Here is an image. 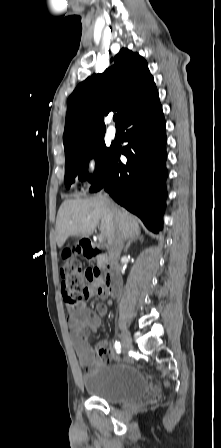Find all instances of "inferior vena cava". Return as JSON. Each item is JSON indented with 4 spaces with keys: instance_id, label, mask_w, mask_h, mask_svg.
<instances>
[{
    "instance_id": "inferior-vena-cava-1",
    "label": "inferior vena cava",
    "mask_w": 221,
    "mask_h": 448,
    "mask_svg": "<svg viewBox=\"0 0 221 448\" xmlns=\"http://www.w3.org/2000/svg\"><path fill=\"white\" fill-rule=\"evenodd\" d=\"M111 205L113 206V203H111ZM124 238L118 237L115 241V244L113 246V253L118 257L123 249L124 246Z\"/></svg>"
}]
</instances>
